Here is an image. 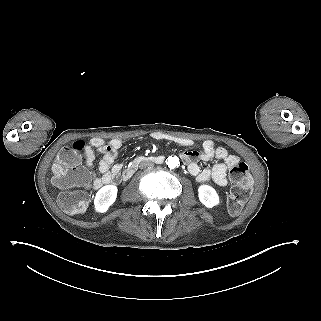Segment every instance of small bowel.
<instances>
[{
    "instance_id": "c3829d8e",
    "label": "small bowel",
    "mask_w": 321,
    "mask_h": 321,
    "mask_svg": "<svg viewBox=\"0 0 321 321\" xmlns=\"http://www.w3.org/2000/svg\"><path fill=\"white\" fill-rule=\"evenodd\" d=\"M155 140H167L181 146H192L193 141L188 138L155 132L151 134ZM122 147L119 139L104 140L93 137L89 140L84 153L86 167L91 171L92 184L94 189H99L103 185L116 182L120 178L122 171L121 164H114L118 151ZM95 151L102 154L99 162V176L95 173ZM181 158L186 162L189 173L200 183L213 182L219 186H226L227 171L239 162V158L229 154L223 147H217L214 142L207 140L203 143L201 151H185ZM215 159L217 162L212 168L201 169L197 164L198 160L209 161Z\"/></svg>"
}]
</instances>
